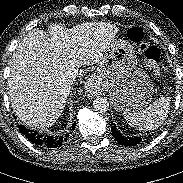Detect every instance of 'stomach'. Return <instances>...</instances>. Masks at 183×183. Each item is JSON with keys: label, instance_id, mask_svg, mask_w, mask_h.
<instances>
[{"label": "stomach", "instance_id": "0dacf381", "mask_svg": "<svg viewBox=\"0 0 183 183\" xmlns=\"http://www.w3.org/2000/svg\"><path fill=\"white\" fill-rule=\"evenodd\" d=\"M95 84L109 92L117 111H137L153 96V84L147 72L138 66L130 42L114 39L106 49L94 78Z\"/></svg>", "mask_w": 183, "mask_h": 183}]
</instances>
